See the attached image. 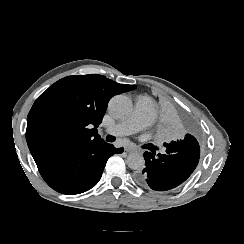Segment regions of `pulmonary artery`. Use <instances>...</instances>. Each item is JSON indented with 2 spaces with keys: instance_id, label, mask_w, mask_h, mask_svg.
Segmentation results:
<instances>
[{
  "instance_id": "1",
  "label": "pulmonary artery",
  "mask_w": 244,
  "mask_h": 244,
  "mask_svg": "<svg viewBox=\"0 0 244 244\" xmlns=\"http://www.w3.org/2000/svg\"><path fill=\"white\" fill-rule=\"evenodd\" d=\"M153 116L154 109L152 104L147 100H141L135 106V114L128 117L123 125H112L109 128V133L112 136L134 134L143 127L148 126L152 122Z\"/></svg>"
}]
</instances>
